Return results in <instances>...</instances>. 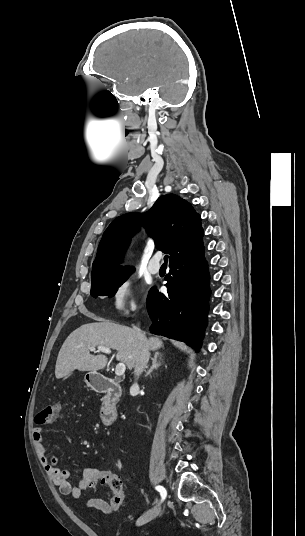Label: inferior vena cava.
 Instances as JSON below:
<instances>
[{
    "mask_svg": "<svg viewBox=\"0 0 305 536\" xmlns=\"http://www.w3.org/2000/svg\"><path fill=\"white\" fill-rule=\"evenodd\" d=\"M136 332L138 334V336H140L141 340H143V344L144 346H142L141 350H140V354L136 360V364H135V368H134V372L136 374V376H140V374H142L144 368H146L147 364H148V360L150 358V354H149V348L146 344L147 340L145 338V336H143V334H141V330H139V328H136ZM131 390H138V386L137 384H133Z\"/></svg>",
    "mask_w": 305,
    "mask_h": 536,
    "instance_id": "1",
    "label": "inferior vena cava"
}]
</instances>
